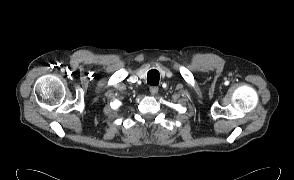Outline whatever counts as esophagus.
Segmentation results:
<instances>
[{"label":"esophagus","instance_id":"1","mask_svg":"<svg viewBox=\"0 0 294 180\" xmlns=\"http://www.w3.org/2000/svg\"><path fill=\"white\" fill-rule=\"evenodd\" d=\"M149 91H150V93H151L152 95H156V94L158 93V91H159V88L156 87V86H151V87L149 88Z\"/></svg>","mask_w":294,"mask_h":180}]
</instances>
